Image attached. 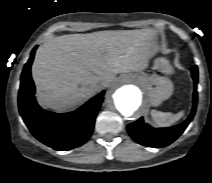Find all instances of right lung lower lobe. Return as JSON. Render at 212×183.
<instances>
[{"mask_svg":"<svg viewBox=\"0 0 212 183\" xmlns=\"http://www.w3.org/2000/svg\"><path fill=\"white\" fill-rule=\"evenodd\" d=\"M36 49L37 46L32 50L21 75L18 97L20 114L30 132L43 144L59 151L79 147L92 134L104 92L74 112L56 114L41 109L34 97L35 87L30 72Z\"/></svg>","mask_w":212,"mask_h":183,"instance_id":"98d812e1","label":"right lung lower lobe"}]
</instances>
